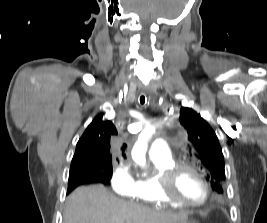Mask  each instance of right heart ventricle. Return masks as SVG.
Masks as SVG:
<instances>
[{
	"label": "right heart ventricle",
	"mask_w": 267,
	"mask_h": 223,
	"mask_svg": "<svg viewBox=\"0 0 267 223\" xmlns=\"http://www.w3.org/2000/svg\"><path fill=\"white\" fill-rule=\"evenodd\" d=\"M154 165L152 173L147 175H140L134 179V185L130 197L137 201L149 203L153 206L173 205L164 201L158 188V177L161 172L174 164V160L170 157L168 159L152 158Z\"/></svg>",
	"instance_id": "1"
}]
</instances>
